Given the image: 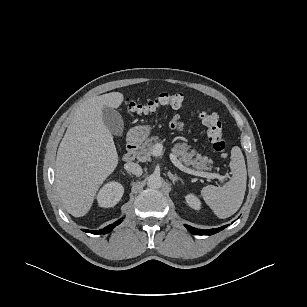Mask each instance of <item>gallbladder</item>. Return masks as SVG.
Instances as JSON below:
<instances>
[{
    "label": "gallbladder",
    "instance_id": "obj_1",
    "mask_svg": "<svg viewBox=\"0 0 307 307\" xmlns=\"http://www.w3.org/2000/svg\"><path fill=\"white\" fill-rule=\"evenodd\" d=\"M102 117L105 126L116 136H122L123 133V119L121 114L109 107L104 106L102 109Z\"/></svg>",
    "mask_w": 307,
    "mask_h": 307
}]
</instances>
